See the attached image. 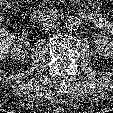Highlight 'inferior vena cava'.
Listing matches in <instances>:
<instances>
[{"label": "inferior vena cava", "instance_id": "602c4592", "mask_svg": "<svg viewBox=\"0 0 113 113\" xmlns=\"http://www.w3.org/2000/svg\"><path fill=\"white\" fill-rule=\"evenodd\" d=\"M43 30L51 31L59 27V23L56 20H47L43 23Z\"/></svg>", "mask_w": 113, "mask_h": 113}]
</instances>
